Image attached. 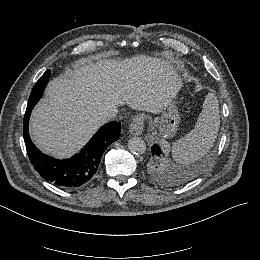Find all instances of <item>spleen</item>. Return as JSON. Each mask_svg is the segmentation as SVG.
Instances as JSON below:
<instances>
[{
    "instance_id": "spleen-1",
    "label": "spleen",
    "mask_w": 260,
    "mask_h": 260,
    "mask_svg": "<svg viewBox=\"0 0 260 260\" xmlns=\"http://www.w3.org/2000/svg\"><path fill=\"white\" fill-rule=\"evenodd\" d=\"M219 127V102L215 94L210 92L206 95L194 129L172 146L164 139L160 141V145L165 155L171 151L177 163L189 165L204 157L214 146Z\"/></svg>"
}]
</instances>
